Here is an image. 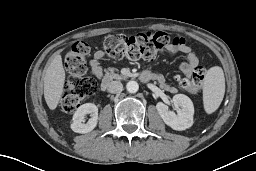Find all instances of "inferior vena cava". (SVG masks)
<instances>
[{"label": "inferior vena cava", "mask_w": 256, "mask_h": 171, "mask_svg": "<svg viewBox=\"0 0 256 171\" xmlns=\"http://www.w3.org/2000/svg\"><path fill=\"white\" fill-rule=\"evenodd\" d=\"M107 90L113 94L120 93L123 90V85L120 81H112L109 83Z\"/></svg>", "instance_id": "602c4592"}]
</instances>
